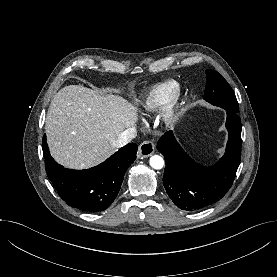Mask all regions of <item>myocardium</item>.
Segmentation results:
<instances>
[{
  "instance_id": "obj_1",
  "label": "myocardium",
  "mask_w": 277,
  "mask_h": 277,
  "mask_svg": "<svg viewBox=\"0 0 277 277\" xmlns=\"http://www.w3.org/2000/svg\"><path fill=\"white\" fill-rule=\"evenodd\" d=\"M180 94L174 90L168 102L163 106L161 118L167 125L173 124L177 119Z\"/></svg>"
}]
</instances>
